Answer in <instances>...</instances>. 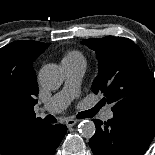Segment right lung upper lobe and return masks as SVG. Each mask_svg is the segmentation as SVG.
Here are the masks:
<instances>
[{
    "label": "right lung upper lobe",
    "mask_w": 155,
    "mask_h": 155,
    "mask_svg": "<svg viewBox=\"0 0 155 155\" xmlns=\"http://www.w3.org/2000/svg\"><path fill=\"white\" fill-rule=\"evenodd\" d=\"M49 45L21 40L0 49V93L8 97L14 121L10 129L0 130L2 155H24L29 138L47 124L35 117L38 84L33 62Z\"/></svg>",
    "instance_id": "1"
}]
</instances>
